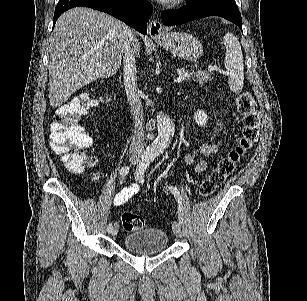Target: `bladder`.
I'll use <instances>...</instances> for the list:
<instances>
[{
	"instance_id": "1",
	"label": "bladder",
	"mask_w": 307,
	"mask_h": 301,
	"mask_svg": "<svg viewBox=\"0 0 307 301\" xmlns=\"http://www.w3.org/2000/svg\"><path fill=\"white\" fill-rule=\"evenodd\" d=\"M122 244L126 250L139 253H156L164 251L168 244L166 232L156 228H145L128 233Z\"/></svg>"
}]
</instances>
